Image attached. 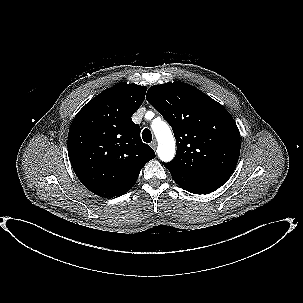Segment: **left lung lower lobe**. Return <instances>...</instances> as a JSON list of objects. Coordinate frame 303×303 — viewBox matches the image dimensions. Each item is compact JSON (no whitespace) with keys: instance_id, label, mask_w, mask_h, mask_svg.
I'll return each instance as SVG.
<instances>
[{"instance_id":"0a47b994","label":"left lung lower lobe","mask_w":303,"mask_h":303,"mask_svg":"<svg viewBox=\"0 0 303 303\" xmlns=\"http://www.w3.org/2000/svg\"><path fill=\"white\" fill-rule=\"evenodd\" d=\"M174 181L184 190L194 194L211 193L222 186L230 173L186 174L168 168Z\"/></svg>"}]
</instances>
